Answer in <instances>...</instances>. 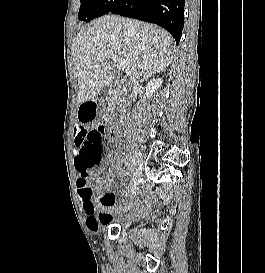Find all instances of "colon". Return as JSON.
I'll return each instance as SVG.
<instances>
[{
	"mask_svg": "<svg viewBox=\"0 0 265 273\" xmlns=\"http://www.w3.org/2000/svg\"><path fill=\"white\" fill-rule=\"evenodd\" d=\"M95 115V114H94ZM114 132L112 126L99 125L94 129H76V150L78 154L79 168L86 176L88 172L94 170L101 161V146L106 136H111ZM84 193L90 194V185L82 181Z\"/></svg>",
	"mask_w": 265,
	"mask_h": 273,
	"instance_id": "colon-1",
	"label": "colon"
}]
</instances>
